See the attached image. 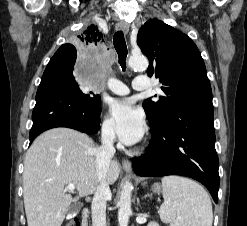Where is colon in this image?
<instances>
[{"label":"colon","instance_id":"colon-1","mask_svg":"<svg viewBox=\"0 0 247 226\" xmlns=\"http://www.w3.org/2000/svg\"><path fill=\"white\" fill-rule=\"evenodd\" d=\"M66 226H81V223L79 219L75 218L71 220L70 222H68Z\"/></svg>","mask_w":247,"mask_h":226}]
</instances>
